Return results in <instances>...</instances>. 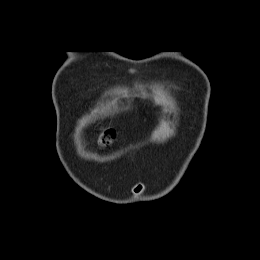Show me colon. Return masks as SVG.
<instances>
[{"instance_id":"5ec220e1","label":"colon","mask_w":260,"mask_h":260,"mask_svg":"<svg viewBox=\"0 0 260 260\" xmlns=\"http://www.w3.org/2000/svg\"><path fill=\"white\" fill-rule=\"evenodd\" d=\"M116 138V131L113 127H102L99 136V144L102 148L108 147Z\"/></svg>"}]
</instances>
